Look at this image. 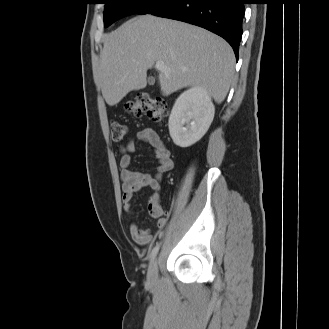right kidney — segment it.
I'll return each instance as SVG.
<instances>
[{
  "mask_svg": "<svg viewBox=\"0 0 329 329\" xmlns=\"http://www.w3.org/2000/svg\"><path fill=\"white\" fill-rule=\"evenodd\" d=\"M215 108L210 94L202 87L184 91L175 101L169 117V133L180 147H189L207 132L214 118Z\"/></svg>",
  "mask_w": 329,
  "mask_h": 329,
  "instance_id": "1",
  "label": "right kidney"
}]
</instances>
